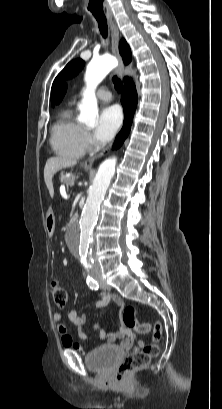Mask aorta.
<instances>
[{"label": "aorta", "instance_id": "obj_1", "mask_svg": "<svg viewBox=\"0 0 222 409\" xmlns=\"http://www.w3.org/2000/svg\"><path fill=\"white\" fill-rule=\"evenodd\" d=\"M116 66L117 60L109 55H104L92 60L87 66L85 74L86 89L83 93L82 103L79 106V120L81 122L89 126L95 125L98 115L95 89ZM116 161V158L107 159L99 166L89 190L81 218L71 232V246L77 252L83 264H86L90 257L98 211L110 181L114 176Z\"/></svg>", "mask_w": 222, "mask_h": 409}]
</instances>
